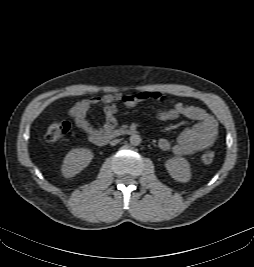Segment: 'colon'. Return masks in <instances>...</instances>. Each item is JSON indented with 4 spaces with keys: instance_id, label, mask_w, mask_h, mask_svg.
<instances>
[{
    "instance_id": "colon-1",
    "label": "colon",
    "mask_w": 254,
    "mask_h": 267,
    "mask_svg": "<svg viewBox=\"0 0 254 267\" xmlns=\"http://www.w3.org/2000/svg\"><path fill=\"white\" fill-rule=\"evenodd\" d=\"M71 125L67 121H59L51 123L45 133V138L47 141L54 142L62 138L70 131ZM214 160V153L212 151L205 152L201 156V161L203 164H211Z\"/></svg>"
}]
</instances>
